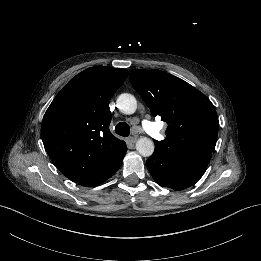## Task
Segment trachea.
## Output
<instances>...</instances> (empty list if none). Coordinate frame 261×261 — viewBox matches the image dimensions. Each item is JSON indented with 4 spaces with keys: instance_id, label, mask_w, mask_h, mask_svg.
<instances>
[{
    "instance_id": "3493384b",
    "label": "trachea",
    "mask_w": 261,
    "mask_h": 261,
    "mask_svg": "<svg viewBox=\"0 0 261 261\" xmlns=\"http://www.w3.org/2000/svg\"><path fill=\"white\" fill-rule=\"evenodd\" d=\"M115 132L123 137H128L130 134V127L126 122H119L115 127Z\"/></svg>"
}]
</instances>
